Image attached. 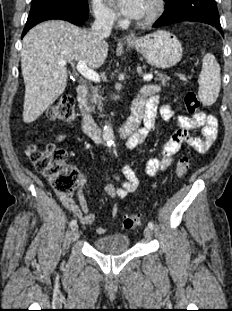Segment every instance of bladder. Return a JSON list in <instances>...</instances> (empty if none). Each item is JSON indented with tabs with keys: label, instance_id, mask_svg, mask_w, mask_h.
I'll return each instance as SVG.
<instances>
[{
	"label": "bladder",
	"instance_id": "bladder-1",
	"mask_svg": "<svg viewBox=\"0 0 232 311\" xmlns=\"http://www.w3.org/2000/svg\"><path fill=\"white\" fill-rule=\"evenodd\" d=\"M93 245L98 252L122 253L130 249V239L124 233H111L97 237Z\"/></svg>",
	"mask_w": 232,
	"mask_h": 311
}]
</instances>
